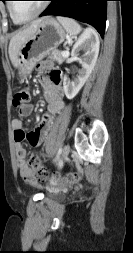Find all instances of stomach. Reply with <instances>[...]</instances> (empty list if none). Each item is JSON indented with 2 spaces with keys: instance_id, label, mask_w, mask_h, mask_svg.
<instances>
[{
  "instance_id": "1",
  "label": "stomach",
  "mask_w": 133,
  "mask_h": 253,
  "mask_svg": "<svg viewBox=\"0 0 133 253\" xmlns=\"http://www.w3.org/2000/svg\"><path fill=\"white\" fill-rule=\"evenodd\" d=\"M65 35V30L55 19L44 18L18 52L16 67L20 77L24 79L30 74L38 61L64 42Z\"/></svg>"
}]
</instances>
